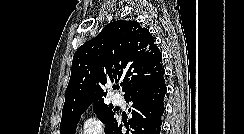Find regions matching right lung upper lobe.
<instances>
[{
  "label": "right lung upper lobe",
  "instance_id": "obj_1",
  "mask_svg": "<svg viewBox=\"0 0 244 134\" xmlns=\"http://www.w3.org/2000/svg\"><path fill=\"white\" fill-rule=\"evenodd\" d=\"M160 50L137 21L117 20L75 52L62 119L104 103L105 85L123 79L126 97L164 76Z\"/></svg>",
  "mask_w": 244,
  "mask_h": 134
}]
</instances>
